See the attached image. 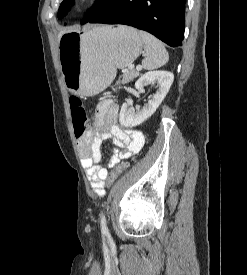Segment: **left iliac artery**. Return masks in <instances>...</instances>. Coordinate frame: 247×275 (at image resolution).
Listing matches in <instances>:
<instances>
[{
  "mask_svg": "<svg viewBox=\"0 0 247 275\" xmlns=\"http://www.w3.org/2000/svg\"><path fill=\"white\" fill-rule=\"evenodd\" d=\"M100 224H101V232H102V234H104V235L108 234V228H107L106 218H105L104 214L101 215V222H100Z\"/></svg>",
  "mask_w": 247,
  "mask_h": 275,
  "instance_id": "1",
  "label": "left iliac artery"
}]
</instances>
